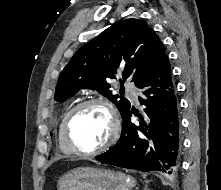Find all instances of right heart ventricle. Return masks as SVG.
Instances as JSON below:
<instances>
[{
    "label": "right heart ventricle",
    "instance_id": "e07e8e85",
    "mask_svg": "<svg viewBox=\"0 0 221 190\" xmlns=\"http://www.w3.org/2000/svg\"><path fill=\"white\" fill-rule=\"evenodd\" d=\"M73 107V105H70L69 107L66 108V110L64 111L59 125H58V135H57V140H58V147L60 149V151L65 154V155H71L74 154L72 152V150L68 147V145L66 144V142L63 139V135H62V122L66 116V114L68 113V111Z\"/></svg>",
    "mask_w": 221,
    "mask_h": 190
}]
</instances>
